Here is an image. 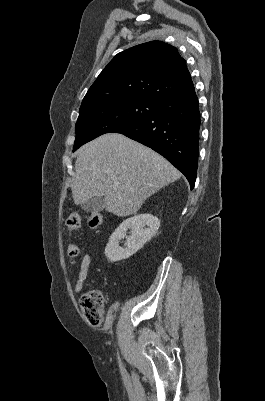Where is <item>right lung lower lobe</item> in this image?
<instances>
[{
	"mask_svg": "<svg viewBox=\"0 0 265 401\" xmlns=\"http://www.w3.org/2000/svg\"><path fill=\"white\" fill-rule=\"evenodd\" d=\"M198 105L193 88L186 94L162 101L154 113L114 133H121L161 154L185 175L193 189L201 124Z\"/></svg>",
	"mask_w": 265,
	"mask_h": 401,
	"instance_id": "1",
	"label": "right lung lower lobe"
}]
</instances>
